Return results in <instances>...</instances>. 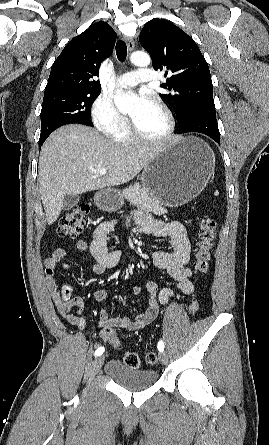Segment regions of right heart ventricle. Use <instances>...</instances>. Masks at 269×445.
I'll return each instance as SVG.
<instances>
[{"instance_id": "1", "label": "right heart ventricle", "mask_w": 269, "mask_h": 445, "mask_svg": "<svg viewBox=\"0 0 269 445\" xmlns=\"http://www.w3.org/2000/svg\"><path fill=\"white\" fill-rule=\"evenodd\" d=\"M111 136L113 140L119 144L127 145L134 141L128 126L115 132Z\"/></svg>"}]
</instances>
